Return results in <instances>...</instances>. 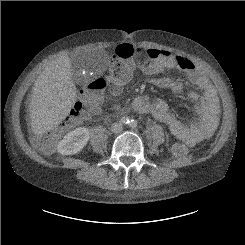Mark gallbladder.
Here are the masks:
<instances>
[{"label":"gallbladder","instance_id":"gallbladder-1","mask_svg":"<svg viewBox=\"0 0 245 245\" xmlns=\"http://www.w3.org/2000/svg\"><path fill=\"white\" fill-rule=\"evenodd\" d=\"M71 67L73 69L74 75H73V80L75 83H80L79 81V73H80V65L79 61L77 58H74L71 60Z\"/></svg>","mask_w":245,"mask_h":245}]
</instances>
